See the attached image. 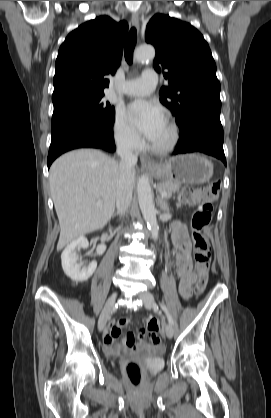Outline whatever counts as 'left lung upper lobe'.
Segmentation results:
<instances>
[{
	"label": "left lung upper lobe",
	"instance_id": "1",
	"mask_svg": "<svg viewBox=\"0 0 271 418\" xmlns=\"http://www.w3.org/2000/svg\"><path fill=\"white\" fill-rule=\"evenodd\" d=\"M145 40L156 49L154 68L163 72L169 86L160 101L177 124L200 114L220 115V82L210 48L191 24L156 14L147 24Z\"/></svg>",
	"mask_w": 271,
	"mask_h": 418
}]
</instances>
